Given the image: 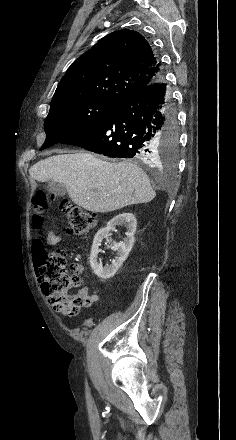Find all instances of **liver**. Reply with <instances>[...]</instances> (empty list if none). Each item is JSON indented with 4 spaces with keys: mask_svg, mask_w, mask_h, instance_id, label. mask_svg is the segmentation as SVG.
<instances>
[{
    "mask_svg": "<svg viewBox=\"0 0 236 440\" xmlns=\"http://www.w3.org/2000/svg\"><path fill=\"white\" fill-rule=\"evenodd\" d=\"M29 174L39 182L64 184L75 204L94 213L147 203L156 196L137 165L107 162L86 152L48 157L30 167Z\"/></svg>",
    "mask_w": 236,
    "mask_h": 440,
    "instance_id": "liver-1",
    "label": "liver"
}]
</instances>
